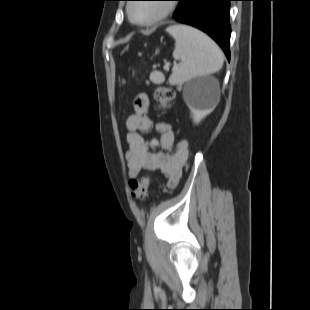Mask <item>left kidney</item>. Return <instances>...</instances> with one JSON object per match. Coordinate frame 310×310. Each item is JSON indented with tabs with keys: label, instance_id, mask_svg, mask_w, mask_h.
<instances>
[{
	"label": "left kidney",
	"instance_id": "left-kidney-1",
	"mask_svg": "<svg viewBox=\"0 0 310 310\" xmlns=\"http://www.w3.org/2000/svg\"><path fill=\"white\" fill-rule=\"evenodd\" d=\"M189 108L191 110L193 120L196 123H199L203 118H205L210 113L209 110H202L194 105H190Z\"/></svg>",
	"mask_w": 310,
	"mask_h": 310
}]
</instances>
